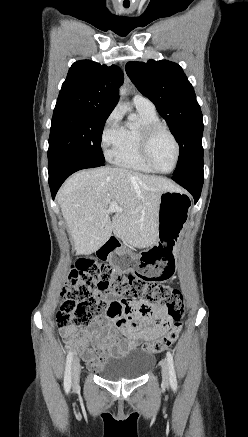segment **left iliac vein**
<instances>
[{
	"label": "left iliac vein",
	"instance_id": "4c4485c4",
	"mask_svg": "<svg viewBox=\"0 0 248 437\" xmlns=\"http://www.w3.org/2000/svg\"><path fill=\"white\" fill-rule=\"evenodd\" d=\"M161 373H162V381L165 385L169 384V368L168 363L165 358L161 360Z\"/></svg>",
	"mask_w": 248,
	"mask_h": 437
}]
</instances>
